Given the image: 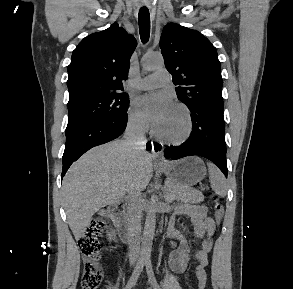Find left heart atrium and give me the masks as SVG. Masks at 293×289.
Here are the masks:
<instances>
[{
  "label": "left heart atrium",
  "instance_id": "1",
  "mask_svg": "<svg viewBox=\"0 0 293 289\" xmlns=\"http://www.w3.org/2000/svg\"><path fill=\"white\" fill-rule=\"evenodd\" d=\"M140 105L148 120L157 127L170 114L174 105L164 93H149L140 99Z\"/></svg>",
  "mask_w": 293,
  "mask_h": 289
}]
</instances>
